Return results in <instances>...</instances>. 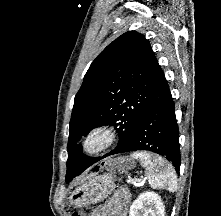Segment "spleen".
Segmentation results:
<instances>
[{
	"label": "spleen",
	"mask_w": 221,
	"mask_h": 216,
	"mask_svg": "<svg viewBox=\"0 0 221 216\" xmlns=\"http://www.w3.org/2000/svg\"><path fill=\"white\" fill-rule=\"evenodd\" d=\"M131 156L138 159L145 168V176L152 188L167 189L169 192L177 190V176L169 162L162 157L143 151L135 152Z\"/></svg>",
	"instance_id": "obj_1"
}]
</instances>
